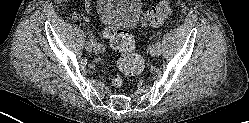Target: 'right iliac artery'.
<instances>
[{"instance_id":"1","label":"right iliac artery","mask_w":249,"mask_h":123,"mask_svg":"<svg viewBox=\"0 0 249 123\" xmlns=\"http://www.w3.org/2000/svg\"><path fill=\"white\" fill-rule=\"evenodd\" d=\"M87 34L89 35V39H90L92 45L94 46V48H95L97 51H99V52H104V51H105V47L102 46L101 44H99V43L94 39V37L91 36V34H90L89 32H88Z\"/></svg>"}]
</instances>
